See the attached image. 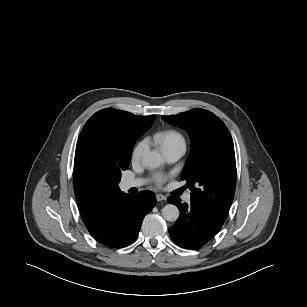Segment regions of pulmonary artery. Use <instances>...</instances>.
<instances>
[{
  "mask_svg": "<svg viewBox=\"0 0 307 307\" xmlns=\"http://www.w3.org/2000/svg\"><path fill=\"white\" fill-rule=\"evenodd\" d=\"M185 153V146H177L165 151L166 158L168 162H175L180 159ZM144 184V180L142 179H126L122 182V187L124 190H128L130 188L140 187ZM191 199L190 194H186L184 196V201L189 202Z\"/></svg>",
  "mask_w": 307,
  "mask_h": 307,
  "instance_id": "e3ab8cb5",
  "label": "pulmonary artery"
}]
</instances>
